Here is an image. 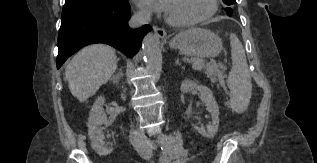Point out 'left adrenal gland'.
<instances>
[{
    "mask_svg": "<svg viewBox=\"0 0 317 163\" xmlns=\"http://www.w3.org/2000/svg\"><path fill=\"white\" fill-rule=\"evenodd\" d=\"M175 64H180L178 59L176 60Z\"/></svg>",
    "mask_w": 317,
    "mask_h": 163,
    "instance_id": "1",
    "label": "left adrenal gland"
}]
</instances>
